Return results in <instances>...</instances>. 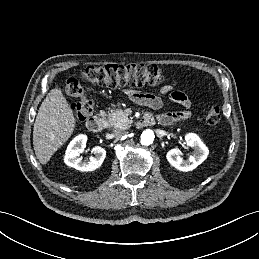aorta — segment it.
I'll use <instances>...</instances> for the list:
<instances>
[{"label":"aorta","instance_id":"1","mask_svg":"<svg viewBox=\"0 0 259 259\" xmlns=\"http://www.w3.org/2000/svg\"><path fill=\"white\" fill-rule=\"evenodd\" d=\"M154 138H155V136H154L153 131L150 129H147L141 134L140 142L142 145H149V144L153 143Z\"/></svg>","mask_w":259,"mask_h":259}]
</instances>
